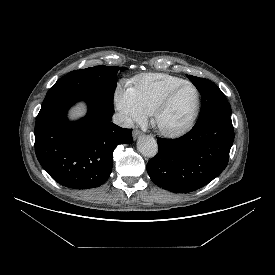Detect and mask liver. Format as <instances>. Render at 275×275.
Here are the masks:
<instances>
[{
	"mask_svg": "<svg viewBox=\"0 0 275 275\" xmlns=\"http://www.w3.org/2000/svg\"><path fill=\"white\" fill-rule=\"evenodd\" d=\"M84 114H85V109L83 107H79V108L75 109L74 111H72L71 118L76 119V118L83 116Z\"/></svg>",
	"mask_w": 275,
	"mask_h": 275,
	"instance_id": "obj_1",
	"label": "liver"
}]
</instances>
